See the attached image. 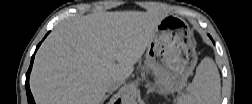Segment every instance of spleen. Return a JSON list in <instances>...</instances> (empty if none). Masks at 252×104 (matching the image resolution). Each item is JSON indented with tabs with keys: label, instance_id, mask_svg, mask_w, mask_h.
Returning a JSON list of instances; mask_svg holds the SVG:
<instances>
[{
	"label": "spleen",
	"instance_id": "spleen-1",
	"mask_svg": "<svg viewBox=\"0 0 252 104\" xmlns=\"http://www.w3.org/2000/svg\"><path fill=\"white\" fill-rule=\"evenodd\" d=\"M221 80L215 62L204 57L196 69V74L188 93L178 97L179 104H217L220 101Z\"/></svg>",
	"mask_w": 252,
	"mask_h": 104
}]
</instances>
